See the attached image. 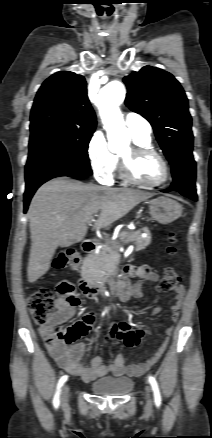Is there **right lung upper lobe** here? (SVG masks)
<instances>
[{
  "instance_id": "obj_1",
  "label": "right lung upper lobe",
  "mask_w": 212,
  "mask_h": 438,
  "mask_svg": "<svg viewBox=\"0 0 212 438\" xmlns=\"http://www.w3.org/2000/svg\"><path fill=\"white\" fill-rule=\"evenodd\" d=\"M30 121L31 131L48 127L94 131L96 116L84 77L69 71L50 76L37 92Z\"/></svg>"
}]
</instances>
